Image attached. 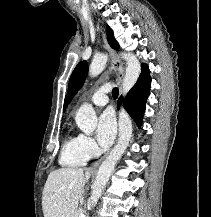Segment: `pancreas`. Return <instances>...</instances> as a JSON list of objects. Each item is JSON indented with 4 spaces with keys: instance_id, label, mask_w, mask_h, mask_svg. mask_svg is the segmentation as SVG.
I'll use <instances>...</instances> for the list:
<instances>
[{
    "instance_id": "obj_1",
    "label": "pancreas",
    "mask_w": 211,
    "mask_h": 217,
    "mask_svg": "<svg viewBox=\"0 0 211 217\" xmlns=\"http://www.w3.org/2000/svg\"><path fill=\"white\" fill-rule=\"evenodd\" d=\"M79 215H80V210L76 209L72 217H79Z\"/></svg>"
}]
</instances>
